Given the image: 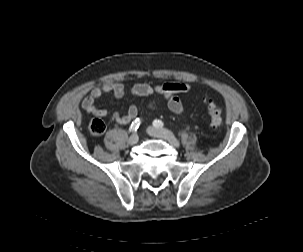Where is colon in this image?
<instances>
[{
  "label": "colon",
  "instance_id": "obj_1",
  "mask_svg": "<svg viewBox=\"0 0 303 252\" xmlns=\"http://www.w3.org/2000/svg\"><path fill=\"white\" fill-rule=\"evenodd\" d=\"M206 108L210 115V125L217 129L222 124V110L217 107L212 101H206ZM90 131L93 135L99 136L105 132L106 126L100 119H93L89 125Z\"/></svg>",
  "mask_w": 303,
  "mask_h": 252
}]
</instances>
